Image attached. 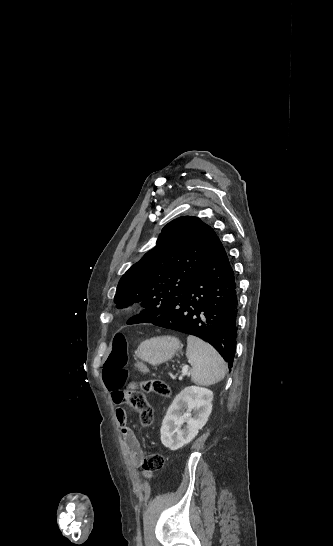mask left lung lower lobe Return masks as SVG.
<instances>
[{
  "mask_svg": "<svg viewBox=\"0 0 333 546\" xmlns=\"http://www.w3.org/2000/svg\"><path fill=\"white\" fill-rule=\"evenodd\" d=\"M237 285L227 253L217 237L190 286L150 322L140 315L128 324L151 323L210 343L230 367L236 351Z\"/></svg>",
  "mask_w": 333,
  "mask_h": 546,
  "instance_id": "1",
  "label": "left lung lower lobe"
}]
</instances>
